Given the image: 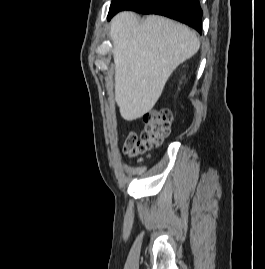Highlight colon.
<instances>
[{
    "label": "colon",
    "mask_w": 265,
    "mask_h": 269,
    "mask_svg": "<svg viewBox=\"0 0 265 269\" xmlns=\"http://www.w3.org/2000/svg\"><path fill=\"white\" fill-rule=\"evenodd\" d=\"M145 129L140 138L135 132H130L124 149L134 158H140L158 145L169 135L172 114L169 110L160 108L144 114Z\"/></svg>",
    "instance_id": "1"
}]
</instances>
